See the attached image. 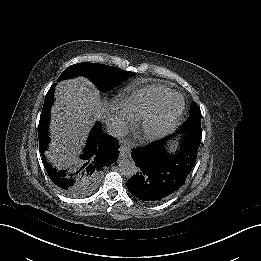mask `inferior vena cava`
<instances>
[{
	"label": "inferior vena cava",
	"instance_id": "inferior-vena-cava-1",
	"mask_svg": "<svg viewBox=\"0 0 261 261\" xmlns=\"http://www.w3.org/2000/svg\"><path fill=\"white\" fill-rule=\"evenodd\" d=\"M105 131L107 134L120 139L125 135L126 130L122 122L110 117L105 120Z\"/></svg>",
	"mask_w": 261,
	"mask_h": 261
}]
</instances>
